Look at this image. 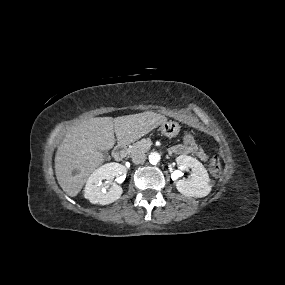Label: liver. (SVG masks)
Wrapping results in <instances>:
<instances>
[{"mask_svg":"<svg viewBox=\"0 0 285 285\" xmlns=\"http://www.w3.org/2000/svg\"><path fill=\"white\" fill-rule=\"evenodd\" d=\"M166 117L151 111L112 117H95L80 122L65 134L55 155V173L60 187L76 196L90 174L104 161L101 152L115 144L128 145L166 121ZM73 171L77 173L73 175Z\"/></svg>","mask_w":285,"mask_h":285,"instance_id":"6515ba94","label":"liver"}]
</instances>
